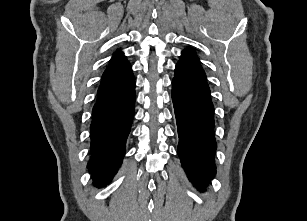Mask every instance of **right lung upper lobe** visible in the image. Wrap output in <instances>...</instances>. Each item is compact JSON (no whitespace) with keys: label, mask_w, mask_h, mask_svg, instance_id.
<instances>
[{"label":"right lung upper lobe","mask_w":307,"mask_h":221,"mask_svg":"<svg viewBox=\"0 0 307 221\" xmlns=\"http://www.w3.org/2000/svg\"><path fill=\"white\" fill-rule=\"evenodd\" d=\"M134 78L132 67L122 52H117L110 60L102 76L98 93L117 89Z\"/></svg>","instance_id":"obj_1"}]
</instances>
